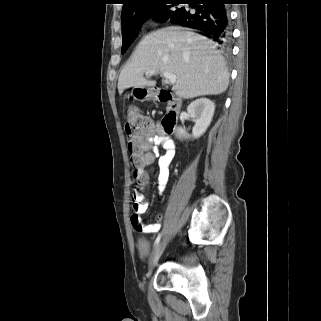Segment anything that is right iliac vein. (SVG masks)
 <instances>
[{"instance_id":"obj_1","label":"right iliac vein","mask_w":321,"mask_h":321,"mask_svg":"<svg viewBox=\"0 0 321 321\" xmlns=\"http://www.w3.org/2000/svg\"><path fill=\"white\" fill-rule=\"evenodd\" d=\"M167 241L163 239L161 242L158 243L156 246L151 260H150V269L154 267V265L157 263L158 259L160 258L161 254L163 253L165 247H166Z\"/></svg>"}]
</instances>
